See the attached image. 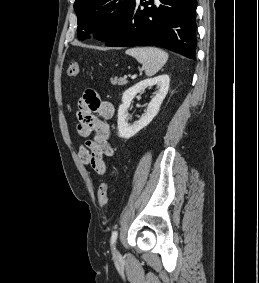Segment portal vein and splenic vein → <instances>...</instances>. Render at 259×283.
Wrapping results in <instances>:
<instances>
[{
  "label": "portal vein and splenic vein",
  "instance_id": "obj_1",
  "mask_svg": "<svg viewBox=\"0 0 259 283\" xmlns=\"http://www.w3.org/2000/svg\"><path fill=\"white\" fill-rule=\"evenodd\" d=\"M135 77H136V76H135V75H133L131 78H132V79H134Z\"/></svg>",
  "mask_w": 259,
  "mask_h": 283
}]
</instances>
